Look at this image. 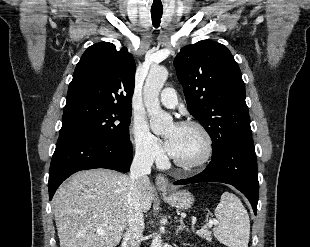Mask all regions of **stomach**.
<instances>
[{
  "label": "stomach",
  "instance_id": "obj_1",
  "mask_svg": "<svg viewBox=\"0 0 310 247\" xmlns=\"http://www.w3.org/2000/svg\"><path fill=\"white\" fill-rule=\"evenodd\" d=\"M161 195L166 202L179 210L189 209L194 203L193 195L186 190L162 192Z\"/></svg>",
  "mask_w": 310,
  "mask_h": 247
}]
</instances>
